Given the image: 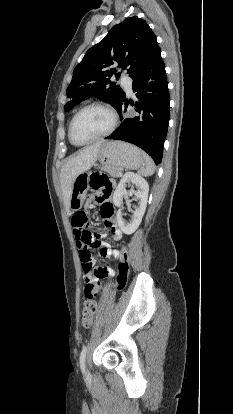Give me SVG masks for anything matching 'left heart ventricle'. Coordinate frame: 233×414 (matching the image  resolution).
<instances>
[{
	"instance_id": "b2bd125f",
	"label": "left heart ventricle",
	"mask_w": 233,
	"mask_h": 414,
	"mask_svg": "<svg viewBox=\"0 0 233 414\" xmlns=\"http://www.w3.org/2000/svg\"><path fill=\"white\" fill-rule=\"evenodd\" d=\"M110 126V116L103 110L92 108L82 112L73 126V139L83 142L105 132Z\"/></svg>"
}]
</instances>
